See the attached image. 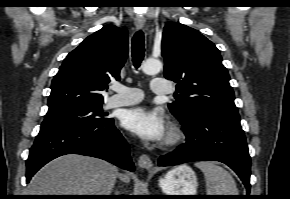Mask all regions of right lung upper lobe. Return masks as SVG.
Masks as SVG:
<instances>
[{
	"label": "right lung upper lobe",
	"instance_id": "obj_1",
	"mask_svg": "<svg viewBox=\"0 0 290 199\" xmlns=\"http://www.w3.org/2000/svg\"><path fill=\"white\" fill-rule=\"evenodd\" d=\"M128 54V32L106 25L88 36L63 61L51 84L47 114L102 103V92L120 70Z\"/></svg>",
	"mask_w": 290,
	"mask_h": 199
}]
</instances>
